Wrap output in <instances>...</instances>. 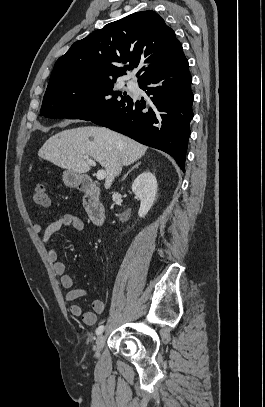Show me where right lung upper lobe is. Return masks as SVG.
Segmentation results:
<instances>
[{"label":"right lung upper lobe","instance_id":"right-lung-upper-lobe-1","mask_svg":"<svg viewBox=\"0 0 265 407\" xmlns=\"http://www.w3.org/2000/svg\"><path fill=\"white\" fill-rule=\"evenodd\" d=\"M181 54L182 45L175 32L159 14L136 12L75 42L55 63L49 84L116 80L126 74V69L142 67L137 73L139 83Z\"/></svg>","mask_w":265,"mask_h":407}]
</instances>
